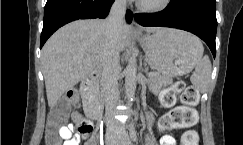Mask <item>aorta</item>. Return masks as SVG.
I'll list each match as a JSON object with an SVG mask.
<instances>
[{
  "instance_id": "aorta-1",
  "label": "aorta",
  "mask_w": 243,
  "mask_h": 145,
  "mask_svg": "<svg viewBox=\"0 0 243 145\" xmlns=\"http://www.w3.org/2000/svg\"><path fill=\"white\" fill-rule=\"evenodd\" d=\"M137 85V65L135 59H130L125 70V90L128 104L134 99Z\"/></svg>"
}]
</instances>
